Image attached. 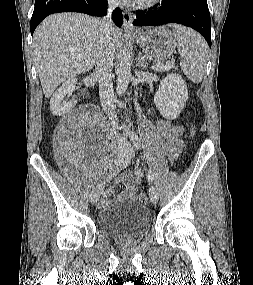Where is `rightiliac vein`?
<instances>
[{
	"label": "right iliac vein",
	"mask_w": 253,
	"mask_h": 285,
	"mask_svg": "<svg viewBox=\"0 0 253 285\" xmlns=\"http://www.w3.org/2000/svg\"><path fill=\"white\" fill-rule=\"evenodd\" d=\"M125 158V150L123 148H120L119 151H118V155H117V161H116V165L117 167L118 166H121L122 164V161L124 160ZM103 187H104V184L101 183L99 185H97L91 192L90 194V202L92 204H95L97 203L101 193H102V190H103Z\"/></svg>",
	"instance_id": "63e3f726"
}]
</instances>
